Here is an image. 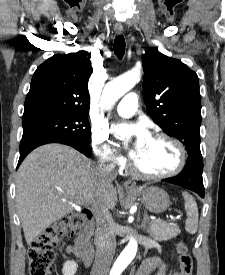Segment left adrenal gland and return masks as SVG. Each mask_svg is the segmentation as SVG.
<instances>
[{"label":"left adrenal gland","instance_id":"obj_1","mask_svg":"<svg viewBox=\"0 0 225 275\" xmlns=\"http://www.w3.org/2000/svg\"><path fill=\"white\" fill-rule=\"evenodd\" d=\"M147 221H148L147 214H145V215H144V220H143V223H142V227H143L144 229H146V223H147Z\"/></svg>","mask_w":225,"mask_h":275}]
</instances>
